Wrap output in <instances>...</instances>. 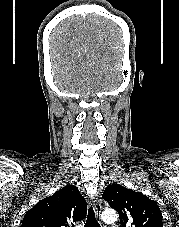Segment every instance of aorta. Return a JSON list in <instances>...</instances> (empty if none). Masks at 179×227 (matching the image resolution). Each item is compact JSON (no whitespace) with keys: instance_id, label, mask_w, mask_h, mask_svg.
Listing matches in <instances>:
<instances>
[{"instance_id":"aorta-1","label":"aorta","mask_w":179,"mask_h":227,"mask_svg":"<svg viewBox=\"0 0 179 227\" xmlns=\"http://www.w3.org/2000/svg\"><path fill=\"white\" fill-rule=\"evenodd\" d=\"M101 218L106 223H112L115 222L118 218V214L115 210L112 209H106L103 211Z\"/></svg>"}]
</instances>
